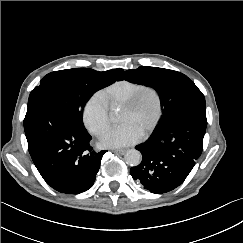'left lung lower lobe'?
<instances>
[{
  "label": "left lung lower lobe",
  "mask_w": 243,
  "mask_h": 243,
  "mask_svg": "<svg viewBox=\"0 0 243 243\" xmlns=\"http://www.w3.org/2000/svg\"><path fill=\"white\" fill-rule=\"evenodd\" d=\"M206 126L205 102L179 110L146 142L136 146L142 162L131 168L133 179L155 194L180 186L202 153Z\"/></svg>",
  "instance_id": "left-lung-lower-lobe-1"
}]
</instances>
